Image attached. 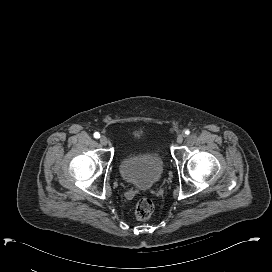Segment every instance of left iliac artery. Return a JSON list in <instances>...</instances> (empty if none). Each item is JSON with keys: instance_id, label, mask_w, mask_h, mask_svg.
<instances>
[{"instance_id": "1", "label": "left iliac artery", "mask_w": 272, "mask_h": 272, "mask_svg": "<svg viewBox=\"0 0 272 272\" xmlns=\"http://www.w3.org/2000/svg\"><path fill=\"white\" fill-rule=\"evenodd\" d=\"M190 131L189 130H185V134L189 135Z\"/></svg>"}]
</instances>
